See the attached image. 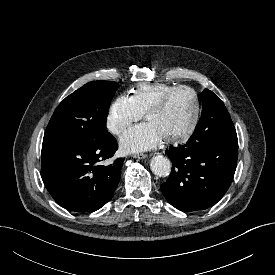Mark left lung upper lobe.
I'll use <instances>...</instances> for the list:
<instances>
[{
	"instance_id": "obj_1",
	"label": "left lung upper lobe",
	"mask_w": 275,
	"mask_h": 275,
	"mask_svg": "<svg viewBox=\"0 0 275 275\" xmlns=\"http://www.w3.org/2000/svg\"><path fill=\"white\" fill-rule=\"evenodd\" d=\"M201 118L187 147L200 145L237 146L238 139L224 103L212 91H203Z\"/></svg>"
}]
</instances>
